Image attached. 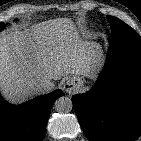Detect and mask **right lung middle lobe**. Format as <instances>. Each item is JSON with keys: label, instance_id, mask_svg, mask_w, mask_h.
<instances>
[{"label": "right lung middle lobe", "instance_id": "1", "mask_svg": "<svg viewBox=\"0 0 141 141\" xmlns=\"http://www.w3.org/2000/svg\"><path fill=\"white\" fill-rule=\"evenodd\" d=\"M5 27V24L4 23H0V31Z\"/></svg>", "mask_w": 141, "mask_h": 141}]
</instances>
